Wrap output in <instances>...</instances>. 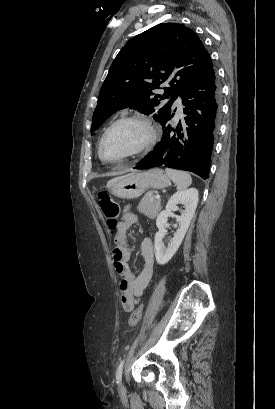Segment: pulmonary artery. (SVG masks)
I'll return each instance as SVG.
<instances>
[{"label": "pulmonary artery", "mask_w": 275, "mask_h": 409, "mask_svg": "<svg viewBox=\"0 0 275 409\" xmlns=\"http://www.w3.org/2000/svg\"><path fill=\"white\" fill-rule=\"evenodd\" d=\"M174 105L177 107V113H178V115L181 116L183 106H182V100H181L180 97H178V98L176 99Z\"/></svg>", "instance_id": "pulmonary-artery-1"}]
</instances>
